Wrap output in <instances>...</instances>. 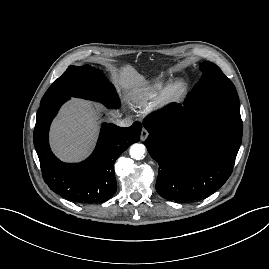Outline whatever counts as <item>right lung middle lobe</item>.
I'll list each match as a JSON object with an SVG mask.
<instances>
[{
	"instance_id": "1",
	"label": "right lung middle lobe",
	"mask_w": 269,
	"mask_h": 269,
	"mask_svg": "<svg viewBox=\"0 0 269 269\" xmlns=\"http://www.w3.org/2000/svg\"><path fill=\"white\" fill-rule=\"evenodd\" d=\"M62 97H80L96 100L106 106H119V98L104 74L88 65L69 66L43 96L40 105Z\"/></svg>"
}]
</instances>
